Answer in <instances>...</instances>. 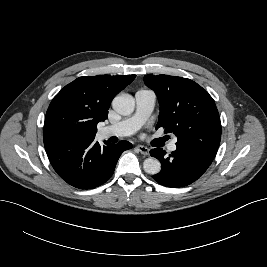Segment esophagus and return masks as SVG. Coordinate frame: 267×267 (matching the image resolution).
Segmentation results:
<instances>
[{
	"mask_svg": "<svg viewBox=\"0 0 267 267\" xmlns=\"http://www.w3.org/2000/svg\"><path fill=\"white\" fill-rule=\"evenodd\" d=\"M137 148H138L139 152L141 154H143L144 156L149 155V149L147 147H145L143 145H138Z\"/></svg>",
	"mask_w": 267,
	"mask_h": 267,
	"instance_id": "esophagus-1",
	"label": "esophagus"
}]
</instances>
